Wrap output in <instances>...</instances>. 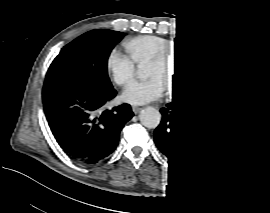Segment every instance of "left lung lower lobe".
<instances>
[{
	"label": "left lung lower lobe",
	"instance_id": "obj_1",
	"mask_svg": "<svg viewBox=\"0 0 270 213\" xmlns=\"http://www.w3.org/2000/svg\"><path fill=\"white\" fill-rule=\"evenodd\" d=\"M161 113L162 121L154 131V138L169 164L174 165L188 166L201 154L210 155L227 124L222 95L199 101L176 99L162 108ZM189 120L195 124L190 130Z\"/></svg>",
	"mask_w": 270,
	"mask_h": 213
}]
</instances>
